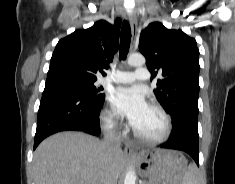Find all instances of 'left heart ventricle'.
Listing matches in <instances>:
<instances>
[{
  "label": "left heart ventricle",
  "mask_w": 235,
  "mask_h": 184,
  "mask_svg": "<svg viewBox=\"0 0 235 184\" xmlns=\"http://www.w3.org/2000/svg\"><path fill=\"white\" fill-rule=\"evenodd\" d=\"M135 130L144 137H158L165 130V120L158 111L149 107Z\"/></svg>",
  "instance_id": "b2bd125f"
}]
</instances>
